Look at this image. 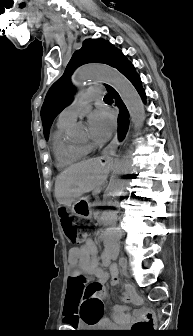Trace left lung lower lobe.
<instances>
[{
    "label": "left lung lower lobe",
    "instance_id": "1",
    "mask_svg": "<svg viewBox=\"0 0 193 336\" xmlns=\"http://www.w3.org/2000/svg\"><path fill=\"white\" fill-rule=\"evenodd\" d=\"M113 67L119 70L131 81V83L134 85L139 95L141 96V98L145 101L146 95L142 88L140 77L136 73L132 63L129 62L121 52L118 53L114 61ZM106 87L109 94L113 98H115L116 105L120 108V113L118 115V132H119V138L123 139L128 129L129 114L126 109V106L122 103L119 94L112 87L110 86Z\"/></svg>",
    "mask_w": 193,
    "mask_h": 336
}]
</instances>
